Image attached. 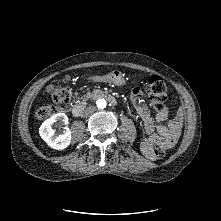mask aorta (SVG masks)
<instances>
[{
	"mask_svg": "<svg viewBox=\"0 0 221 221\" xmlns=\"http://www.w3.org/2000/svg\"><path fill=\"white\" fill-rule=\"evenodd\" d=\"M106 100L105 99H98L96 105L99 109H104L106 107Z\"/></svg>",
	"mask_w": 221,
	"mask_h": 221,
	"instance_id": "762f6f07",
	"label": "aorta"
}]
</instances>
